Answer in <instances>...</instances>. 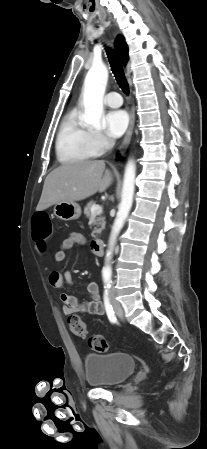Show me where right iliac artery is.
<instances>
[{
  "label": "right iliac artery",
  "instance_id": "obj_1",
  "mask_svg": "<svg viewBox=\"0 0 207 449\" xmlns=\"http://www.w3.org/2000/svg\"><path fill=\"white\" fill-rule=\"evenodd\" d=\"M104 305H105L106 313H107V316H108L110 322L116 323L117 318L115 316V312H114L113 307L109 300L108 289H105V291H104Z\"/></svg>",
  "mask_w": 207,
  "mask_h": 449
}]
</instances>
